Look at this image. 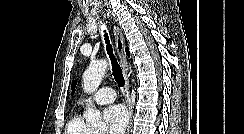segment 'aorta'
Instances as JSON below:
<instances>
[{
	"mask_svg": "<svg viewBox=\"0 0 244 134\" xmlns=\"http://www.w3.org/2000/svg\"><path fill=\"white\" fill-rule=\"evenodd\" d=\"M108 63L106 60H100L94 63H91L83 74V84L84 90L87 93H93L99 87ZM84 116L89 127L92 128H105L106 122L102 117L101 112H99L94 107H87Z\"/></svg>",
	"mask_w": 244,
	"mask_h": 134,
	"instance_id": "obj_1",
	"label": "aorta"
}]
</instances>
